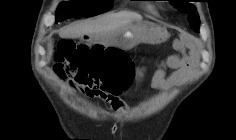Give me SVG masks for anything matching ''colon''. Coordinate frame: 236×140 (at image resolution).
Segmentation results:
<instances>
[{"instance_id":"1","label":"colon","mask_w":236,"mask_h":140,"mask_svg":"<svg viewBox=\"0 0 236 140\" xmlns=\"http://www.w3.org/2000/svg\"><path fill=\"white\" fill-rule=\"evenodd\" d=\"M54 71L60 78L76 82L83 93L111 102L132 80L134 64L120 49L62 40Z\"/></svg>"}]
</instances>
